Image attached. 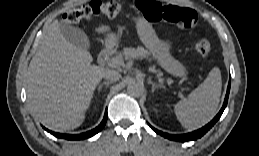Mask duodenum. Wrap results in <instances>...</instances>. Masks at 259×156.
I'll list each match as a JSON object with an SVG mask.
<instances>
[{"label":"duodenum","instance_id":"obj_1","mask_svg":"<svg viewBox=\"0 0 259 156\" xmlns=\"http://www.w3.org/2000/svg\"><path fill=\"white\" fill-rule=\"evenodd\" d=\"M114 52V46L113 45H106L102 51L100 52L98 56V61L101 65L105 64L109 57L113 54Z\"/></svg>","mask_w":259,"mask_h":156}]
</instances>
